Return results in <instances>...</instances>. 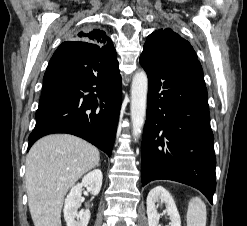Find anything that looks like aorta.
<instances>
[{"instance_id":"762f6f07","label":"aorta","mask_w":247,"mask_h":226,"mask_svg":"<svg viewBox=\"0 0 247 226\" xmlns=\"http://www.w3.org/2000/svg\"><path fill=\"white\" fill-rule=\"evenodd\" d=\"M148 78L145 71L137 72L131 85V121L132 135L138 139L145 123L147 107Z\"/></svg>"}]
</instances>
